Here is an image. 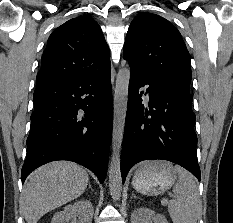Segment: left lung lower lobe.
I'll return each instance as SVG.
<instances>
[{"instance_id": "obj_1", "label": "left lung lower lobe", "mask_w": 233, "mask_h": 223, "mask_svg": "<svg viewBox=\"0 0 233 223\" xmlns=\"http://www.w3.org/2000/svg\"><path fill=\"white\" fill-rule=\"evenodd\" d=\"M129 64L128 109L121 153L122 181L134 164L153 159L174 162L200 181L191 94L158 85L138 66L130 61ZM146 84L149 85L148 108L141 103L144 91H139Z\"/></svg>"}]
</instances>
